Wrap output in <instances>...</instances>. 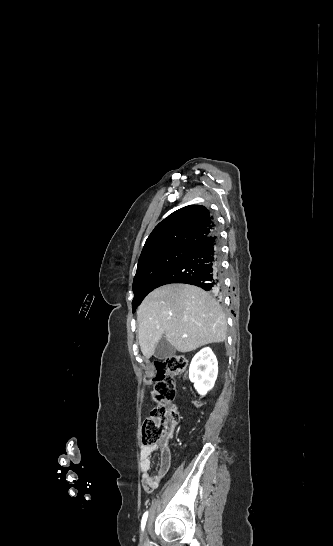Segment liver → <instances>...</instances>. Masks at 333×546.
Here are the masks:
<instances>
[{
  "label": "liver",
  "instance_id": "1",
  "mask_svg": "<svg viewBox=\"0 0 333 546\" xmlns=\"http://www.w3.org/2000/svg\"><path fill=\"white\" fill-rule=\"evenodd\" d=\"M137 321L146 358L163 338L183 353L226 339L227 320L221 306L194 285L172 283L153 290L139 306Z\"/></svg>",
  "mask_w": 333,
  "mask_h": 546
}]
</instances>
